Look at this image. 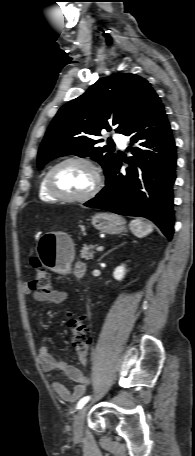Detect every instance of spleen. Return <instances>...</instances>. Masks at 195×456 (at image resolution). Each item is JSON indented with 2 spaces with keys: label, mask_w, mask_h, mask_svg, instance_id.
I'll return each mask as SVG.
<instances>
[{
  "label": "spleen",
  "mask_w": 195,
  "mask_h": 456,
  "mask_svg": "<svg viewBox=\"0 0 195 456\" xmlns=\"http://www.w3.org/2000/svg\"><path fill=\"white\" fill-rule=\"evenodd\" d=\"M131 232L139 237H145L153 231V225L149 222L143 221L142 219H134L129 224Z\"/></svg>",
  "instance_id": "spleen-1"
}]
</instances>
